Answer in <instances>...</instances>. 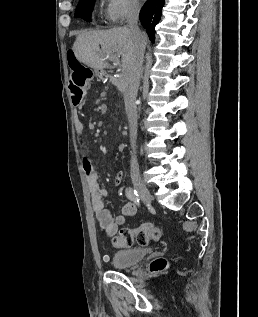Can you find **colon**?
<instances>
[{
	"label": "colon",
	"instance_id": "obj_1",
	"mask_svg": "<svg viewBox=\"0 0 258 317\" xmlns=\"http://www.w3.org/2000/svg\"><path fill=\"white\" fill-rule=\"evenodd\" d=\"M67 62L72 77L77 78L85 86H88L93 78L94 71L82 64L73 50L67 51ZM162 231L154 223H144L135 229L123 228L112 238V243L117 248H129L138 245H148L151 242L160 240ZM168 267L165 258H156L150 264V271L153 273L161 272Z\"/></svg>",
	"mask_w": 258,
	"mask_h": 317
}]
</instances>
